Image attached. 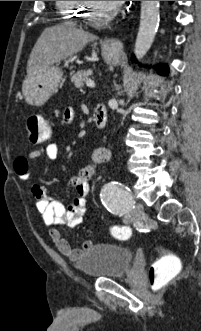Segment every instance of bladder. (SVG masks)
<instances>
[{
  "mask_svg": "<svg viewBox=\"0 0 201 331\" xmlns=\"http://www.w3.org/2000/svg\"><path fill=\"white\" fill-rule=\"evenodd\" d=\"M134 260V252L115 243H99L76 261V268L88 278L123 277Z\"/></svg>",
  "mask_w": 201,
  "mask_h": 331,
  "instance_id": "31cf9c89",
  "label": "bladder"
}]
</instances>
